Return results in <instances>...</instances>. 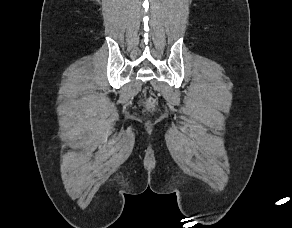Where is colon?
<instances>
[{
	"label": "colon",
	"mask_w": 292,
	"mask_h": 228,
	"mask_svg": "<svg viewBox=\"0 0 292 228\" xmlns=\"http://www.w3.org/2000/svg\"><path fill=\"white\" fill-rule=\"evenodd\" d=\"M154 99L153 98H148L147 100H146V105L148 106V107H152L153 105H154Z\"/></svg>",
	"instance_id": "5ec220e1"
}]
</instances>
